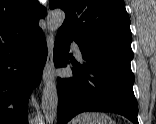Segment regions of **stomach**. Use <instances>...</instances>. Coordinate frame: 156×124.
<instances>
[{"label": "stomach", "instance_id": "obj_1", "mask_svg": "<svg viewBox=\"0 0 156 124\" xmlns=\"http://www.w3.org/2000/svg\"><path fill=\"white\" fill-rule=\"evenodd\" d=\"M71 124H115L109 117L105 114H88L80 115L75 118Z\"/></svg>", "mask_w": 156, "mask_h": 124}]
</instances>
